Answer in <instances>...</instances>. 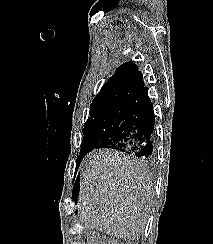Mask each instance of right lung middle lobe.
<instances>
[{
	"label": "right lung middle lobe",
	"instance_id": "obj_1",
	"mask_svg": "<svg viewBox=\"0 0 213 244\" xmlns=\"http://www.w3.org/2000/svg\"><path fill=\"white\" fill-rule=\"evenodd\" d=\"M136 97L119 95L94 100L83 129L80 155L116 134L133 110Z\"/></svg>",
	"mask_w": 213,
	"mask_h": 244
}]
</instances>
